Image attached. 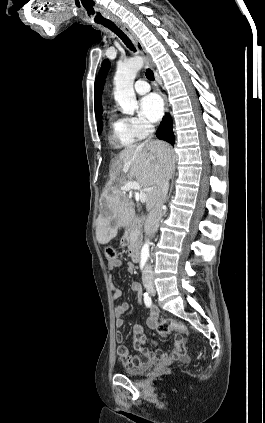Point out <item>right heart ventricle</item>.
Masks as SVG:
<instances>
[{
  "label": "right heart ventricle",
  "instance_id": "e07e8e85",
  "mask_svg": "<svg viewBox=\"0 0 265 423\" xmlns=\"http://www.w3.org/2000/svg\"><path fill=\"white\" fill-rule=\"evenodd\" d=\"M109 125L112 145H129L135 141L130 135L124 119L112 118Z\"/></svg>",
  "mask_w": 265,
  "mask_h": 423
}]
</instances>
